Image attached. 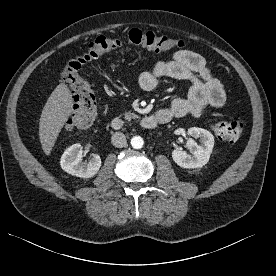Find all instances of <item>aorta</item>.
Returning <instances> with one entry per match:
<instances>
[{
	"mask_svg": "<svg viewBox=\"0 0 276 276\" xmlns=\"http://www.w3.org/2000/svg\"><path fill=\"white\" fill-rule=\"evenodd\" d=\"M144 145V141H143V138L140 137V136H134L132 137L131 139V146L134 148V149H141Z\"/></svg>",
	"mask_w": 276,
	"mask_h": 276,
	"instance_id": "aorta-1",
	"label": "aorta"
}]
</instances>
